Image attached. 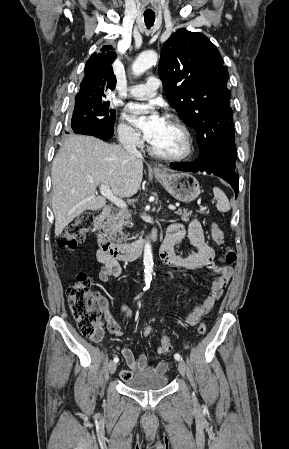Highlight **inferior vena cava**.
Wrapping results in <instances>:
<instances>
[{
	"instance_id": "inferior-vena-cava-1",
	"label": "inferior vena cava",
	"mask_w": 289,
	"mask_h": 449,
	"mask_svg": "<svg viewBox=\"0 0 289 449\" xmlns=\"http://www.w3.org/2000/svg\"><path fill=\"white\" fill-rule=\"evenodd\" d=\"M124 149L135 158H142L141 153L136 148V143L133 139H126L123 141Z\"/></svg>"
}]
</instances>
